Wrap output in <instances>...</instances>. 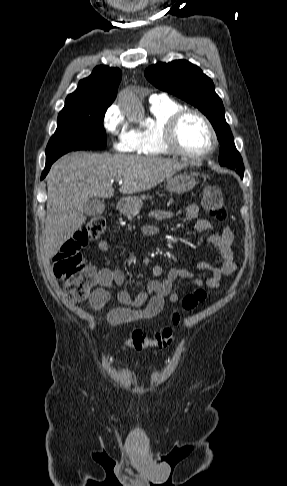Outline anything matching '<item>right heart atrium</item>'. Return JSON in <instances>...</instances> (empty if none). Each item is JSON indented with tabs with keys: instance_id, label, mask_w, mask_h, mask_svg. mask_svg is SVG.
<instances>
[{
	"instance_id": "obj_1",
	"label": "right heart atrium",
	"mask_w": 287,
	"mask_h": 486,
	"mask_svg": "<svg viewBox=\"0 0 287 486\" xmlns=\"http://www.w3.org/2000/svg\"><path fill=\"white\" fill-rule=\"evenodd\" d=\"M105 131L112 137V147L118 152H134L135 139L121 110L112 105L105 111L102 119Z\"/></svg>"
}]
</instances>
